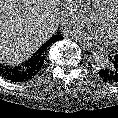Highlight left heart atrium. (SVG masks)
Instances as JSON below:
<instances>
[{"label":"left heart atrium","instance_id":"1","mask_svg":"<svg viewBox=\"0 0 118 118\" xmlns=\"http://www.w3.org/2000/svg\"><path fill=\"white\" fill-rule=\"evenodd\" d=\"M75 36L91 44H102L107 41L105 33L100 28H82L75 32Z\"/></svg>","mask_w":118,"mask_h":118}]
</instances>
